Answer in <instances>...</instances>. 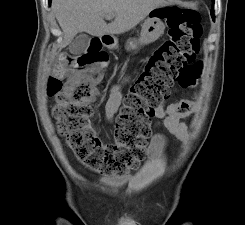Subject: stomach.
I'll return each mask as SVG.
<instances>
[{"instance_id": "0dacf381", "label": "stomach", "mask_w": 245, "mask_h": 225, "mask_svg": "<svg viewBox=\"0 0 245 225\" xmlns=\"http://www.w3.org/2000/svg\"><path fill=\"white\" fill-rule=\"evenodd\" d=\"M163 8L165 6L153 9L142 25L140 37L138 39H129L126 45L128 51H136L141 46L155 42L163 35L165 24L162 21ZM116 45V43H115Z\"/></svg>"}]
</instances>
